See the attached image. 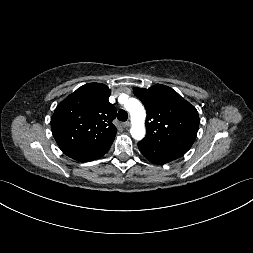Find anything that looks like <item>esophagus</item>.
<instances>
[{
  "instance_id": "34e87169",
  "label": "esophagus",
  "mask_w": 253,
  "mask_h": 253,
  "mask_svg": "<svg viewBox=\"0 0 253 253\" xmlns=\"http://www.w3.org/2000/svg\"><path fill=\"white\" fill-rule=\"evenodd\" d=\"M122 126L125 127V128L129 127L130 126V122L129 121L123 122Z\"/></svg>"
}]
</instances>
